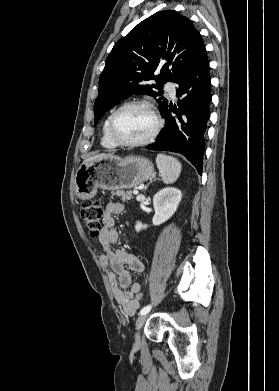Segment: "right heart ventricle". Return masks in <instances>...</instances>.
Returning a JSON list of instances; mask_svg holds the SVG:
<instances>
[{"label": "right heart ventricle", "mask_w": 279, "mask_h": 391, "mask_svg": "<svg viewBox=\"0 0 279 391\" xmlns=\"http://www.w3.org/2000/svg\"><path fill=\"white\" fill-rule=\"evenodd\" d=\"M110 115L109 114L106 119L104 120V123L102 125V135H101V145L103 148L105 149H115L118 147V145H116L109 137L108 135V122H109V118H110Z\"/></svg>", "instance_id": "obj_1"}]
</instances>
